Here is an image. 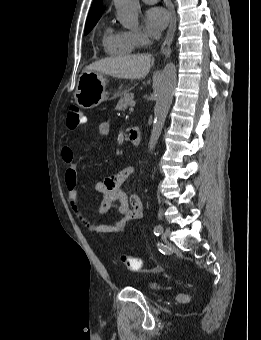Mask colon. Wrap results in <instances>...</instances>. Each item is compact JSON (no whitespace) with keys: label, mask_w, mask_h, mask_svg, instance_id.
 Wrapping results in <instances>:
<instances>
[{"label":"colon","mask_w":261,"mask_h":340,"mask_svg":"<svg viewBox=\"0 0 261 340\" xmlns=\"http://www.w3.org/2000/svg\"><path fill=\"white\" fill-rule=\"evenodd\" d=\"M86 121L85 115L79 107L71 105L67 110L66 124L69 129H76ZM122 264L129 270H138L141 268L142 261L140 258L129 255L121 256Z\"/></svg>","instance_id":"obj_1"}]
</instances>
